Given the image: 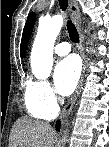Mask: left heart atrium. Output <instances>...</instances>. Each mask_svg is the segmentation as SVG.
I'll return each mask as SVG.
<instances>
[{"mask_svg": "<svg viewBox=\"0 0 109 147\" xmlns=\"http://www.w3.org/2000/svg\"><path fill=\"white\" fill-rule=\"evenodd\" d=\"M80 76V64L75 56L60 61L54 69V85L56 91L64 96L73 92Z\"/></svg>", "mask_w": 109, "mask_h": 147, "instance_id": "1", "label": "left heart atrium"}]
</instances>
